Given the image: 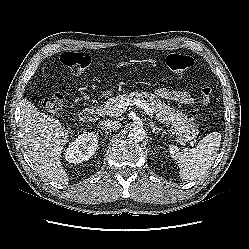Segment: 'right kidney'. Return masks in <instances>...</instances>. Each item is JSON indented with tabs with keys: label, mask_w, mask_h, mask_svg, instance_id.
<instances>
[{
	"label": "right kidney",
	"mask_w": 249,
	"mask_h": 249,
	"mask_svg": "<svg viewBox=\"0 0 249 249\" xmlns=\"http://www.w3.org/2000/svg\"><path fill=\"white\" fill-rule=\"evenodd\" d=\"M98 147V138L95 132H88L79 135L70 142L65 150V159L69 163H82L89 160Z\"/></svg>",
	"instance_id": "obj_1"
}]
</instances>
